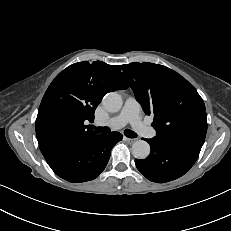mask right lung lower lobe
Listing matches in <instances>:
<instances>
[{
	"mask_svg": "<svg viewBox=\"0 0 231 231\" xmlns=\"http://www.w3.org/2000/svg\"><path fill=\"white\" fill-rule=\"evenodd\" d=\"M122 137L118 132L98 134L82 145L61 150L45 159L59 177L69 182L93 180L105 169L112 147Z\"/></svg>",
	"mask_w": 231,
	"mask_h": 231,
	"instance_id": "98d812e1",
	"label": "right lung lower lobe"
}]
</instances>
